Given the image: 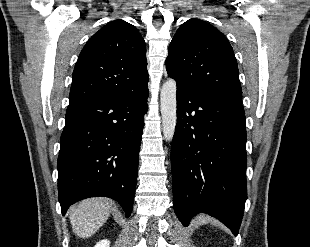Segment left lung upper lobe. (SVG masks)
Instances as JSON below:
<instances>
[{
	"mask_svg": "<svg viewBox=\"0 0 310 247\" xmlns=\"http://www.w3.org/2000/svg\"><path fill=\"white\" fill-rule=\"evenodd\" d=\"M177 85L242 104L239 71L227 38L214 26L192 18L177 30L166 59Z\"/></svg>",
	"mask_w": 310,
	"mask_h": 247,
	"instance_id": "1",
	"label": "left lung upper lobe"
}]
</instances>
